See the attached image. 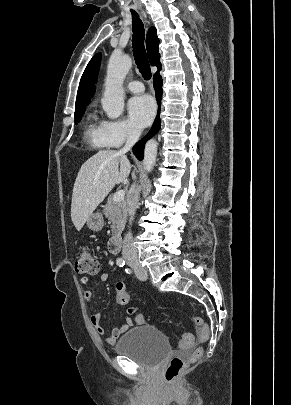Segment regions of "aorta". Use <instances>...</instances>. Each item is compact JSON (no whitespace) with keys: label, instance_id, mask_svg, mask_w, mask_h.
Segmentation results:
<instances>
[{"label":"aorta","instance_id":"obj_1","mask_svg":"<svg viewBox=\"0 0 291 405\" xmlns=\"http://www.w3.org/2000/svg\"><path fill=\"white\" fill-rule=\"evenodd\" d=\"M132 66L131 58L126 55L113 54L110 57L107 76L105 80V91L102 98V107L111 119L118 118L124 109L123 81ZM157 158V142L149 140L144 149L143 166L147 172H151Z\"/></svg>","mask_w":291,"mask_h":405}]
</instances>
